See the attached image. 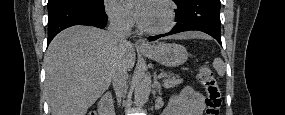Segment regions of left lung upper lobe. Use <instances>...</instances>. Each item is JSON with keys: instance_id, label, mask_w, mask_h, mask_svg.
<instances>
[{"instance_id": "obj_1", "label": "left lung upper lobe", "mask_w": 285, "mask_h": 115, "mask_svg": "<svg viewBox=\"0 0 285 115\" xmlns=\"http://www.w3.org/2000/svg\"><path fill=\"white\" fill-rule=\"evenodd\" d=\"M175 1V3H179V2H181V1H183V0H174Z\"/></svg>"}]
</instances>
